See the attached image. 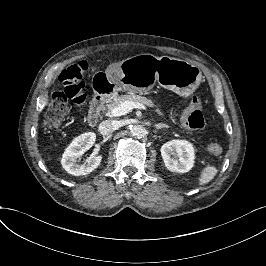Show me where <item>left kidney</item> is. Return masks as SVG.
Masks as SVG:
<instances>
[{"instance_id": "obj_1", "label": "left kidney", "mask_w": 266, "mask_h": 266, "mask_svg": "<svg viewBox=\"0 0 266 266\" xmlns=\"http://www.w3.org/2000/svg\"><path fill=\"white\" fill-rule=\"evenodd\" d=\"M161 155L168 170L178 173L190 171L194 165L195 151L187 140L174 139L162 145Z\"/></svg>"}]
</instances>
